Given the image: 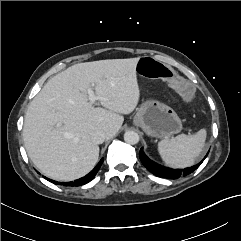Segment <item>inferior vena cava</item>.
<instances>
[{
	"label": "inferior vena cava",
	"mask_w": 241,
	"mask_h": 241,
	"mask_svg": "<svg viewBox=\"0 0 241 241\" xmlns=\"http://www.w3.org/2000/svg\"><path fill=\"white\" fill-rule=\"evenodd\" d=\"M106 138V135L103 131L97 130L92 133L91 139L95 144H102Z\"/></svg>",
	"instance_id": "inferior-vena-cava-1"
}]
</instances>
